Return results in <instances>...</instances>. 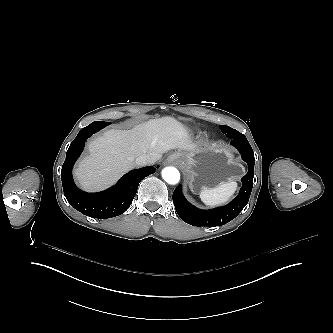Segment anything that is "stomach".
<instances>
[{
    "mask_svg": "<svg viewBox=\"0 0 333 333\" xmlns=\"http://www.w3.org/2000/svg\"><path fill=\"white\" fill-rule=\"evenodd\" d=\"M178 165L188 175V183L192 192L199 193L204 188H211L222 181L237 180L243 166L233 160L228 148H198L181 159L176 152Z\"/></svg>",
    "mask_w": 333,
    "mask_h": 333,
    "instance_id": "obj_1",
    "label": "stomach"
}]
</instances>
